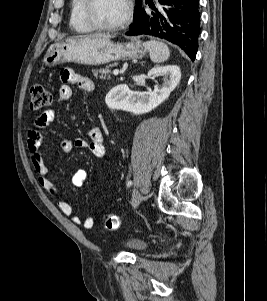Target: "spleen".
Listing matches in <instances>:
<instances>
[{
    "mask_svg": "<svg viewBox=\"0 0 267 301\" xmlns=\"http://www.w3.org/2000/svg\"><path fill=\"white\" fill-rule=\"evenodd\" d=\"M145 48L150 54V58L154 63H162L170 57L168 46L159 41L151 40L144 43Z\"/></svg>",
    "mask_w": 267,
    "mask_h": 301,
    "instance_id": "1",
    "label": "spleen"
}]
</instances>
